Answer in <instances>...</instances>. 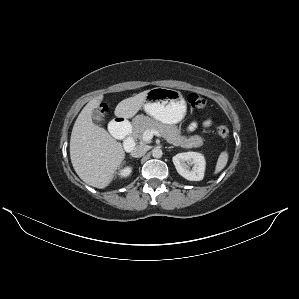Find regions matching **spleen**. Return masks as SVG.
<instances>
[{"mask_svg": "<svg viewBox=\"0 0 299 299\" xmlns=\"http://www.w3.org/2000/svg\"><path fill=\"white\" fill-rule=\"evenodd\" d=\"M228 157L229 156H228L227 151H223L220 153L218 160H217L216 167H215V171H214L215 174L220 173L225 168V166L227 165V162H228Z\"/></svg>", "mask_w": 299, "mask_h": 299, "instance_id": "obj_1", "label": "spleen"}]
</instances>
